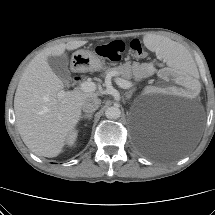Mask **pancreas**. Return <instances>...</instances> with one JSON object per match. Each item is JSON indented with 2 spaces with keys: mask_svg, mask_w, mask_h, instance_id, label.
I'll return each mask as SVG.
<instances>
[{
  "mask_svg": "<svg viewBox=\"0 0 215 215\" xmlns=\"http://www.w3.org/2000/svg\"><path fill=\"white\" fill-rule=\"evenodd\" d=\"M106 75H121L126 80H130L134 78V71L132 69V66L129 63H125L123 65H120L118 67L109 68L105 72ZM137 79V78H136Z\"/></svg>",
  "mask_w": 215,
  "mask_h": 215,
  "instance_id": "1",
  "label": "pancreas"
}]
</instances>
